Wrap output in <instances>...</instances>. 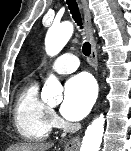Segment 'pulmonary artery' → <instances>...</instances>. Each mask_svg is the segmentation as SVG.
Instances as JSON below:
<instances>
[{"label": "pulmonary artery", "instance_id": "pulmonary-artery-1", "mask_svg": "<svg viewBox=\"0 0 131 151\" xmlns=\"http://www.w3.org/2000/svg\"><path fill=\"white\" fill-rule=\"evenodd\" d=\"M79 66L78 58L71 53H65L58 57L51 66V70L59 74H68Z\"/></svg>", "mask_w": 131, "mask_h": 151}]
</instances>
